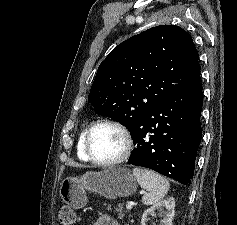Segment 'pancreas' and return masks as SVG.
Returning a JSON list of instances; mask_svg holds the SVG:
<instances>
[{"mask_svg": "<svg viewBox=\"0 0 237 225\" xmlns=\"http://www.w3.org/2000/svg\"><path fill=\"white\" fill-rule=\"evenodd\" d=\"M115 208V212L118 214L119 218H123L124 217V212H123V204H119L118 206L114 207ZM108 209L111 210V206H108Z\"/></svg>", "mask_w": 237, "mask_h": 225, "instance_id": "obj_1", "label": "pancreas"}]
</instances>
